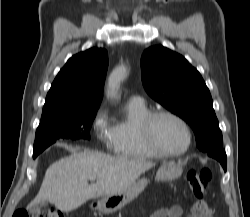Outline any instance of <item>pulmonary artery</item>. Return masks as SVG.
<instances>
[{
	"label": "pulmonary artery",
	"mask_w": 250,
	"mask_h": 217,
	"mask_svg": "<svg viewBox=\"0 0 250 217\" xmlns=\"http://www.w3.org/2000/svg\"><path fill=\"white\" fill-rule=\"evenodd\" d=\"M129 102H136V103H140V102H143V99L138 96V95H132L130 98H129Z\"/></svg>",
	"instance_id": "pulmonary-artery-1"
}]
</instances>
